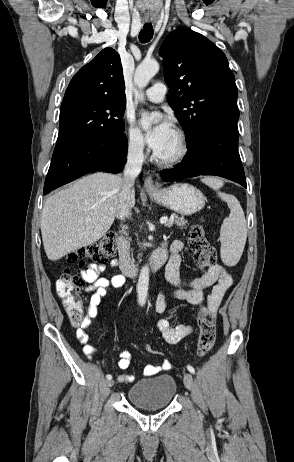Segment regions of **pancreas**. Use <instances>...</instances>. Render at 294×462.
Masks as SVG:
<instances>
[{
	"mask_svg": "<svg viewBox=\"0 0 294 462\" xmlns=\"http://www.w3.org/2000/svg\"><path fill=\"white\" fill-rule=\"evenodd\" d=\"M173 224H176L177 226L181 228H186L187 221L184 219V217H179L178 215H174V218L172 219L171 222L167 223L166 226L171 227Z\"/></svg>",
	"mask_w": 294,
	"mask_h": 462,
	"instance_id": "1",
	"label": "pancreas"
}]
</instances>
